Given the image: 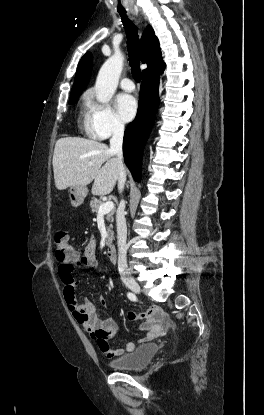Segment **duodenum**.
Instances as JSON below:
<instances>
[{"label":"duodenum","instance_id":"obj_1","mask_svg":"<svg viewBox=\"0 0 264 415\" xmlns=\"http://www.w3.org/2000/svg\"><path fill=\"white\" fill-rule=\"evenodd\" d=\"M107 259L110 264L116 262V246L113 242H110L107 246Z\"/></svg>","mask_w":264,"mask_h":415}]
</instances>
